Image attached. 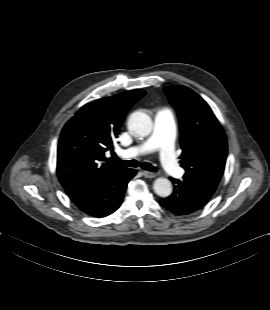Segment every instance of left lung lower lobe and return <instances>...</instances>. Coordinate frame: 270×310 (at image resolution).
Listing matches in <instances>:
<instances>
[{"label":"left lung lower lobe","mask_w":270,"mask_h":310,"mask_svg":"<svg viewBox=\"0 0 270 310\" xmlns=\"http://www.w3.org/2000/svg\"><path fill=\"white\" fill-rule=\"evenodd\" d=\"M176 188L171 196L162 199L161 204L170 212L187 215L200 210L215 193L218 183L184 175L183 180L171 178Z\"/></svg>","instance_id":"1"}]
</instances>
